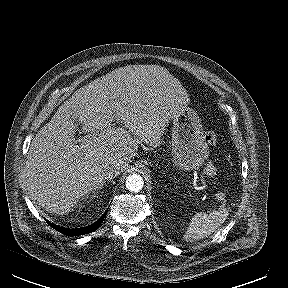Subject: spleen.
<instances>
[{
	"mask_svg": "<svg viewBox=\"0 0 288 288\" xmlns=\"http://www.w3.org/2000/svg\"><path fill=\"white\" fill-rule=\"evenodd\" d=\"M228 215L227 210L220 209L210 213L198 212L189 223V226L183 235L186 242H194L208 237L217 228L223 224Z\"/></svg>",
	"mask_w": 288,
	"mask_h": 288,
	"instance_id": "spleen-1",
	"label": "spleen"
}]
</instances>
